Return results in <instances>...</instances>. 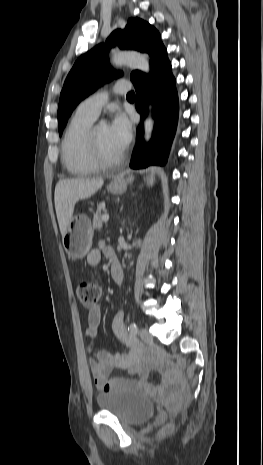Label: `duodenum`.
I'll list each match as a JSON object with an SVG mask.
<instances>
[{"label": "duodenum", "instance_id": "obj_1", "mask_svg": "<svg viewBox=\"0 0 263 465\" xmlns=\"http://www.w3.org/2000/svg\"><path fill=\"white\" fill-rule=\"evenodd\" d=\"M111 275L116 283H120L123 279V270L119 261L115 258L111 262Z\"/></svg>", "mask_w": 263, "mask_h": 465}]
</instances>
